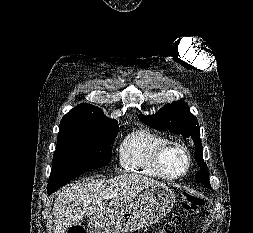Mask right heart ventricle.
I'll return each instance as SVG.
<instances>
[{
	"mask_svg": "<svg viewBox=\"0 0 253 233\" xmlns=\"http://www.w3.org/2000/svg\"><path fill=\"white\" fill-rule=\"evenodd\" d=\"M169 141L159 133L142 127L125 135L119 148L120 166L129 172L150 177H162L153 164L155 153Z\"/></svg>",
	"mask_w": 253,
	"mask_h": 233,
	"instance_id": "e07e8e85",
	"label": "right heart ventricle"
}]
</instances>
